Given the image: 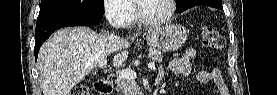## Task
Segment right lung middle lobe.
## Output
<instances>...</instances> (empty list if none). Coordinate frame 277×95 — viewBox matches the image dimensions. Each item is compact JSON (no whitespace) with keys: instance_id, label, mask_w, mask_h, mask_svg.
<instances>
[{"instance_id":"1","label":"right lung middle lobe","mask_w":277,"mask_h":95,"mask_svg":"<svg viewBox=\"0 0 277 95\" xmlns=\"http://www.w3.org/2000/svg\"><path fill=\"white\" fill-rule=\"evenodd\" d=\"M103 0H41L37 21L56 17L103 16Z\"/></svg>"}]
</instances>
